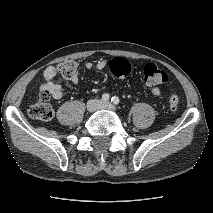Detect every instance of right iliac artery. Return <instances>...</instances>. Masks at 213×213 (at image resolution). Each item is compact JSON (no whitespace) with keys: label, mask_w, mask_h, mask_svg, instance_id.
I'll use <instances>...</instances> for the list:
<instances>
[{"label":"right iliac artery","mask_w":213,"mask_h":213,"mask_svg":"<svg viewBox=\"0 0 213 213\" xmlns=\"http://www.w3.org/2000/svg\"><path fill=\"white\" fill-rule=\"evenodd\" d=\"M109 99H110V95H109V94L105 93V94L102 95V100H103V101L106 102V101H108Z\"/></svg>","instance_id":"right-iliac-artery-1"}]
</instances>
